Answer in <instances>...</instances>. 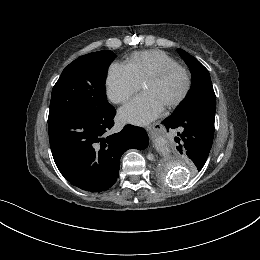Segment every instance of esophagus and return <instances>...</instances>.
Here are the masks:
<instances>
[{
  "mask_svg": "<svg viewBox=\"0 0 260 260\" xmlns=\"http://www.w3.org/2000/svg\"><path fill=\"white\" fill-rule=\"evenodd\" d=\"M160 130L159 123H154L152 126L148 128V131L150 134H153L155 132H158Z\"/></svg>",
  "mask_w": 260,
  "mask_h": 260,
  "instance_id": "obj_1",
  "label": "esophagus"
}]
</instances>
